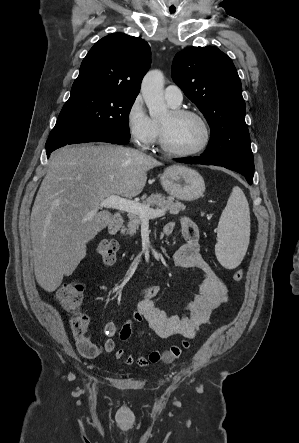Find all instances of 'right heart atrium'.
I'll return each instance as SVG.
<instances>
[{
  "label": "right heart atrium",
  "instance_id": "d8ad5b80",
  "mask_svg": "<svg viewBox=\"0 0 299 443\" xmlns=\"http://www.w3.org/2000/svg\"><path fill=\"white\" fill-rule=\"evenodd\" d=\"M125 121L130 138L137 147L147 149L154 143L159 129L156 122L148 115L140 95L130 102L126 109Z\"/></svg>",
  "mask_w": 299,
  "mask_h": 443
}]
</instances>
